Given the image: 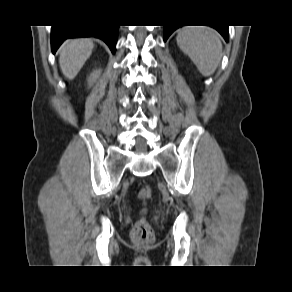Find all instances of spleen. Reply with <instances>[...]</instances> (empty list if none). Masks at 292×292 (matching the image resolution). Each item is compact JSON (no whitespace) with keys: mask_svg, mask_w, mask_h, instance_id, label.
Segmentation results:
<instances>
[{"mask_svg":"<svg viewBox=\"0 0 292 292\" xmlns=\"http://www.w3.org/2000/svg\"><path fill=\"white\" fill-rule=\"evenodd\" d=\"M176 41L203 76L216 71L222 58L221 36L217 31L209 27H183L178 30Z\"/></svg>","mask_w":292,"mask_h":292,"instance_id":"obj_1","label":"spleen"}]
</instances>
